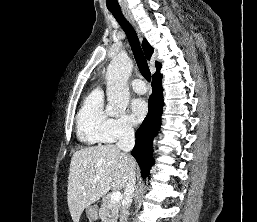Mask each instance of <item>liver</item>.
<instances>
[{"mask_svg": "<svg viewBox=\"0 0 257 222\" xmlns=\"http://www.w3.org/2000/svg\"><path fill=\"white\" fill-rule=\"evenodd\" d=\"M136 167V161L115 145L76 151L71 158L67 186V202L73 222H79L83 210L110 189H124Z\"/></svg>", "mask_w": 257, "mask_h": 222, "instance_id": "obj_1", "label": "liver"}]
</instances>
